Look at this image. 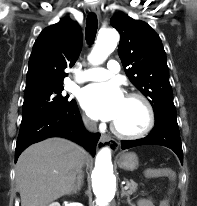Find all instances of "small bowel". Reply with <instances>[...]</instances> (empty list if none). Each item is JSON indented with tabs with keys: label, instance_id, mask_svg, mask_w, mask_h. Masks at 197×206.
Masks as SVG:
<instances>
[{
	"label": "small bowel",
	"instance_id": "obj_1",
	"mask_svg": "<svg viewBox=\"0 0 197 206\" xmlns=\"http://www.w3.org/2000/svg\"><path fill=\"white\" fill-rule=\"evenodd\" d=\"M161 203L159 206H161ZM138 205L139 206H155L154 203L150 199H147V198L140 199L138 202Z\"/></svg>",
	"mask_w": 197,
	"mask_h": 206
}]
</instances>
